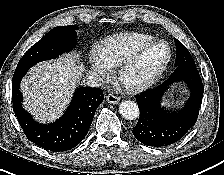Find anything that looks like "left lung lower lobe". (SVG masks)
I'll list each match as a JSON object with an SVG mask.
<instances>
[{"label": "left lung lower lobe", "mask_w": 224, "mask_h": 175, "mask_svg": "<svg viewBox=\"0 0 224 175\" xmlns=\"http://www.w3.org/2000/svg\"><path fill=\"white\" fill-rule=\"evenodd\" d=\"M183 81L191 91L185 106L179 111L161 107V99L175 82ZM204 86L194 64L177 66L169 78L158 87L136 95L140 117L133 127L138 141L153 147H162L180 140L194 126L199 114Z\"/></svg>", "instance_id": "1"}]
</instances>
